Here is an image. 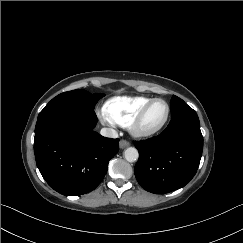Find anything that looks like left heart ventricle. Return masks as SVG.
<instances>
[{"label": "left heart ventricle", "instance_id": "b2bd125f", "mask_svg": "<svg viewBox=\"0 0 243 243\" xmlns=\"http://www.w3.org/2000/svg\"><path fill=\"white\" fill-rule=\"evenodd\" d=\"M166 111V106L163 102L155 103L145 115L143 126L148 129L157 127L164 120Z\"/></svg>", "mask_w": 243, "mask_h": 243}]
</instances>
